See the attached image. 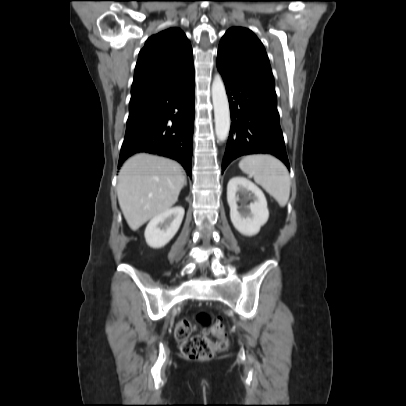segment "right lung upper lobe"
<instances>
[{
  "label": "right lung upper lobe",
  "instance_id": "obj_1",
  "mask_svg": "<svg viewBox=\"0 0 406 406\" xmlns=\"http://www.w3.org/2000/svg\"><path fill=\"white\" fill-rule=\"evenodd\" d=\"M194 71L192 47L179 28L151 36L139 53L130 106L167 89Z\"/></svg>",
  "mask_w": 406,
  "mask_h": 406
}]
</instances>
